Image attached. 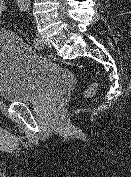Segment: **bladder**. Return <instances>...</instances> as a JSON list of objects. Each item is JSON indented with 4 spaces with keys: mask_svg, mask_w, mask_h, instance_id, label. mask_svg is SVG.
Masks as SVG:
<instances>
[{
    "mask_svg": "<svg viewBox=\"0 0 131 177\" xmlns=\"http://www.w3.org/2000/svg\"><path fill=\"white\" fill-rule=\"evenodd\" d=\"M72 71L35 54L17 36L0 33V99L8 103L52 100L75 84Z\"/></svg>",
    "mask_w": 131,
    "mask_h": 177,
    "instance_id": "1",
    "label": "bladder"
}]
</instances>
